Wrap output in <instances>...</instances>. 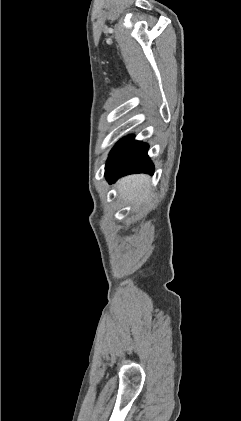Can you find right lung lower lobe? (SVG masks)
<instances>
[{"label": "right lung lower lobe", "mask_w": 241, "mask_h": 421, "mask_svg": "<svg viewBox=\"0 0 241 421\" xmlns=\"http://www.w3.org/2000/svg\"><path fill=\"white\" fill-rule=\"evenodd\" d=\"M148 145L135 141L133 136L121 139L110 152L105 177L112 183L132 173H153L154 165L147 155Z\"/></svg>", "instance_id": "obj_1"}]
</instances>
